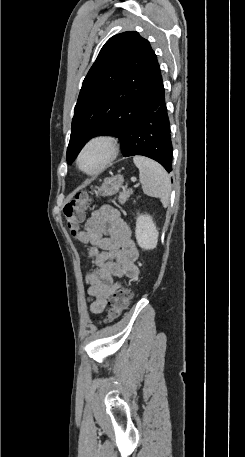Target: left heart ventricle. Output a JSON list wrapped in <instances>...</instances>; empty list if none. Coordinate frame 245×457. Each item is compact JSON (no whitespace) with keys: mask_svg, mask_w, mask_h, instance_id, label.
<instances>
[{"mask_svg":"<svg viewBox=\"0 0 245 457\" xmlns=\"http://www.w3.org/2000/svg\"><path fill=\"white\" fill-rule=\"evenodd\" d=\"M104 153L100 150L88 152L83 159V167L87 170L97 168L103 161Z\"/></svg>","mask_w":245,"mask_h":457,"instance_id":"1","label":"left heart ventricle"}]
</instances>
